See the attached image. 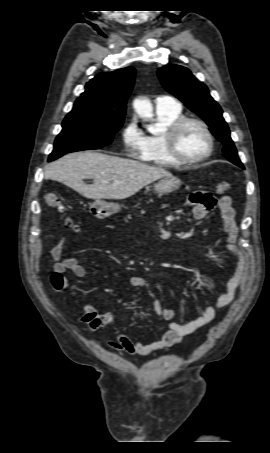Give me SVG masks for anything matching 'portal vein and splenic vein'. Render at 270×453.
Here are the masks:
<instances>
[{"label":"portal vein and splenic vein","mask_w":270,"mask_h":453,"mask_svg":"<svg viewBox=\"0 0 270 453\" xmlns=\"http://www.w3.org/2000/svg\"><path fill=\"white\" fill-rule=\"evenodd\" d=\"M101 182L104 183V184H105V183H108V181H106V180H102Z\"/></svg>","instance_id":"obj_1"}]
</instances>
